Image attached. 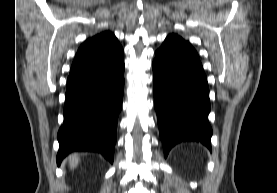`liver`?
<instances>
[{
  "label": "liver",
  "mask_w": 277,
  "mask_h": 193,
  "mask_svg": "<svg viewBox=\"0 0 277 193\" xmlns=\"http://www.w3.org/2000/svg\"><path fill=\"white\" fill-rule=\"evenodd\" d=\"M69 161H70V168L71 169L75 168L79 163L78 155L74 154V155L70 156Z\"/></svg>",
  "instance_id": "liver-1"
}]
</instances>
